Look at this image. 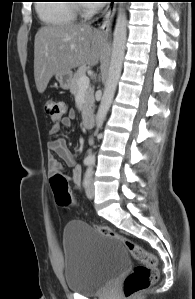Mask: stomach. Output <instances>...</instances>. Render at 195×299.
<instances>
[{
  "label": "stomach",
  "mask_w": 195,
  "mask_h": 299,
  "mask_svg": "<svg viewBox=\"0 0 195 299\" xmlns=\"http://www.w3.org/2000/svg\"><path fill=\"white\" fill-rule=\"evenodd\" d=\"M56 80L59 82L60 87L62 89H69L71 84H72V80H73V74L71 71L66 72V73H60V74H56Z\"/></svg>",
  "instance_id": "0dacf381"
}]
</instances>
